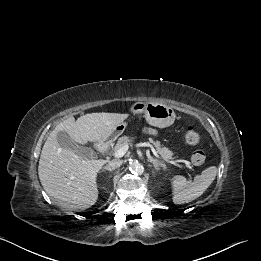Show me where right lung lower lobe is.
I'll return each instance as SVG.
<instances>
[{"instance_id": "1", "label": "right lung lower lobe", "mask_w": 261, "mask_h": 261, "mask_svg": "<svg viewBox=\"0 0 261 261\" xmlns=\"http://www.w3.org/2000/svg\"><path fill=\"white\" fill-rule=\"evenodd\" d=\"M95 213V212H94ZM80 215H83V216H89L92 214V212H83V213H79Z\"/></svg>"}]
</instances>
